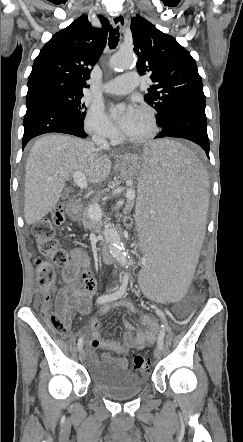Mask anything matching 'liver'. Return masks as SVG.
<instances>
[{
    "instance_id": "6515ba94",
    "label": "liver",
    "mask_w": 243,
    "mask_h": 442,
    "mask_svg": "<svg viewBox=\"0 0 243 442\" xmlns=\"http://www.w3.org/2000/svg\"><path fill=\"white\" fill-rule=\"evenodd\" d=\"M111 161L91 141L60 134L39 138L30 150L25 173L24 218L28 225L45 217L58 203L74 171L96 184L110 174Z\"/></svg>"
}]
</instances>
